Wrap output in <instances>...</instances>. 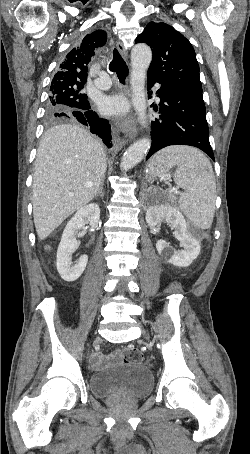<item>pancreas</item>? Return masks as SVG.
Returning <instances> with one entry per match:
<instances>
[{
    "instance_id": "obj_1",
    "label": "pancreas",
    "mask_w": 250,
    "mask_h": 454,
    "mask_svg": "<svg viewBox=\"0 0 250 454\" xmlns=\"http://www.w3.org/2000/svg\"><path fill=\"white\" fill-rule=\"evenodd\" d=\"M169 197L172 201H175L176 200V197L173 195V194H169Z\"/></svg>"
}]
</instances>
